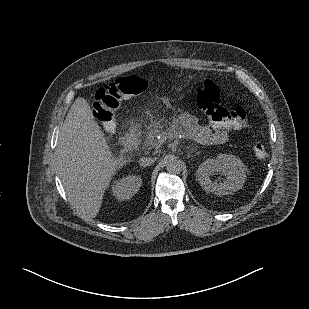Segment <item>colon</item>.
<instances>
[{
	"instance_id": "colon-1",
	"label": "colon",
	"mask_w": 309,
	"mask_h": 309,
	"mask_svg": "<svg viewBox=\"0 0 309 309\" xmlns=\"http://www.w3.org/2000/svg\"><path fill=\"white\" fill-rule=\"evenodd\" d=\"M147 82L139 76L120 77L101 87L95 100L99 111L98 118L107 132L117 127L116 111L124 99L146 91ZM196 101L199 109L209 122L216 127H240L247 120L244 107L236 106L227 109L221 104L219 87L212 80H205L197 92ZM256 157L264 159L267 150L263 143L256 142L253 146Z\"/></svg>"
}]
</instances>
